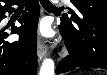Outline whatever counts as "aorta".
<instances>
[{"mask_svg":"<svg viewBox=\"0 0 107 75\" xmlns=\"http://www.w3.org/2000/svg\"><path fill=\"white\" fill-rule=\"evenodd\" d=\"M39 75H54V61L46 58L40 68Z\"/></svg>","mask_w":107,"mask_h":75,"instance_id":"aorta-1","label":"aorta"}]
</instances>
